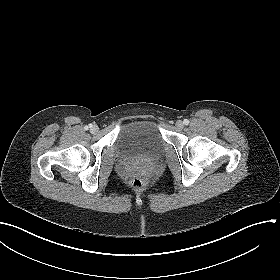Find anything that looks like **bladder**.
Wrapping results in <instances>:
<instances>
[{"instance_id":"1","label":"bladder","mask_w":280,"mask_h":280,"mask_svg":"<svg viewBox=\"0 0 280 280\" xmlns=\"http://www.w3.org/2000/svg\"><path fill=\"white\" fill-rule=\"evenodd\" d=\"M116 145L126 155L153 156L161 151L163 138L154 120L138 119L121 128Z\"/></svg>"}]
</instances>
